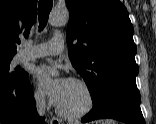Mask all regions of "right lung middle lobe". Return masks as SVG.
I'll list each match as a JSON object with an SVG mask.
<instances>
[{"label": "right lung middle lobe", "instance_id": "obj_1", "mask_svg": "<svg viewBox=\"0 0 156 124\" xmlns=\"http://www.w3.org/2000/svg\"><path fill=\"white\" fill-rule=\"evenodd\" d=\"M12 59H2L0 60V70L4 72L5 76L13 79H23L28 76L24 70H15L14 72L9 73V65Z\"/></svg>", "mask_w": 156, "mask_h": 124}]
</instances>
